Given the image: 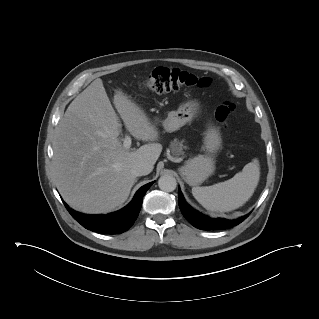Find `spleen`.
<instances>
[{
  "label": "spleen",
  "instance_id": "3e777b00",
  "mask_svg": "<svg viewBox=\"0 0 319 319\" xmlns=\"http://www.w3.org/2000/svg\"><path fill=\"white\" fill-rule=\"evenodd\" d=\"M259 178V162L254 159L231 179L212 186L193 187L192 194L205 209L228 212L241 207L251 198Z\"/></svg>",
  "mask_w": 319,
  "mask_h": 319
}]
</instances>
